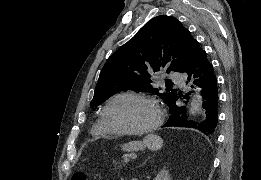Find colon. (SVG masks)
Here are the masks:
<instances>
[{"mask_svg": "<svg viewBox=\"0 0 261 180\" xmlns=\"http://www.w3.org/2000/svg\"><path fill=\"white\" fill-rule=\"evenodd\" d=\"M73 180H86V175L83 172H76L73 174Z\"/></svg>", "mask_w": 261, "mask_h": 180, "instance_id": "1", "label": "colon"}]
</instances>
